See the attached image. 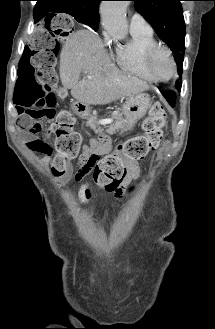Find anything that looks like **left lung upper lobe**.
<instances>
[{"label": "left lung upper lobe", "instance_id": "1", "mask_svg": "<svg viewBox=\"0 0 215 329\" xmlns=\"http://www.w3.org/2000/svg\"><path fill=\"white\" fill-rule=\"evenodd\" d=\"M135 9L154 28L157 35L174 53L179 80L176 89L181 90V74L185 51V22L182 0H132Z\"/></svg>", "mask_w": 215, "mask_h": 329}]
</instances>
